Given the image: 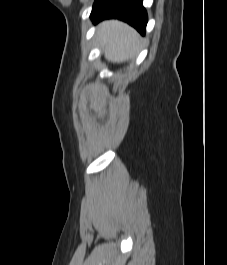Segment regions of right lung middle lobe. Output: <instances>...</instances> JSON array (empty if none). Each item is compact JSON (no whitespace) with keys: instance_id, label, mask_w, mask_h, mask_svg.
Instances as JSON below:
<instances>
[{"instance_id":"1","label":"right lung middle lobe","mask_w":227,"mask_h":265,"mask_svg":"<svg viewBox=\"0 0 227 265\" xmlns=\"http://www.w3.org/2000/svg\"><path fill=\"white\" fill-rule=\"evenodd\" d=\"M107 0H96L94 5H93V9H92V13L91 16L93 14H95L102 6L103 4L106 2Z\"/></svg>"}]
</instances>
